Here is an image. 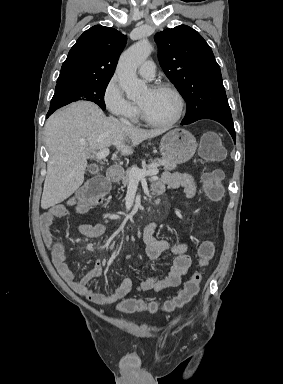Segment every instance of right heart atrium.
<instances>
[{
    "label": "right heart atrium",
    "mask_w": 283,
    "mask_h": 384,
    "mask_svg": "<svg viewBox=\"0 0 283 384\" xmlns=\"http://www.w3.org/2000/svg\"><path fill=\"white\" fill-rule=\"evenodd\" d=\"M103 101L107 110L122 122L133 121L138 116L137 106L126 98L116 75L107 81Z\"/></svg>",
    "instance_id": "d8ad5b80"
}]
</instances>
